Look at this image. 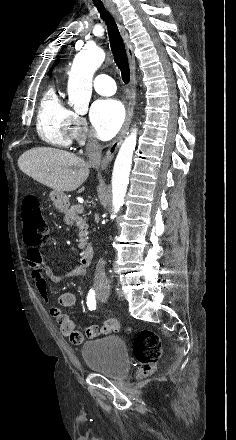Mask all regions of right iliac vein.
I'll use <instances>...</instances> for the list:
<instances>
[{"label": "right iliac vein", "instance_id": "1", "mask_svg": "<svg viewBox=\"0 0 236 440\" xmlns=\"http://www.w3.org/2000/svg\"><path fill=\"white\" fill-rule=\"evenodd\" d=\"M100 297L101 298H107L108 297V293L107 292H102V293H100Z\"/></svg>", "mask_w": 236, "mask_h": 440}]
</instances>
